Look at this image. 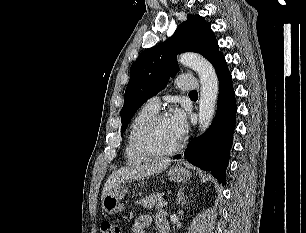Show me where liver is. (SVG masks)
Segmentation results:
<instances>
[{"instance_id":"1","label":"liver","mask_w":306,"mask_h":233,"mask_svg":"<svg viewBox=\"0 0 306 233\" xmlns=\"http://www.w3.org/2000/svg\"><path fill=\"white\" fill-rule=\"evenodd\" d=\"M170 162L171 160L164 159L154 163L132 165L112 172L104 185L101 200H103L105 195L118 184L160 173L170 165Z\"/></svg>"}]
</instances>
